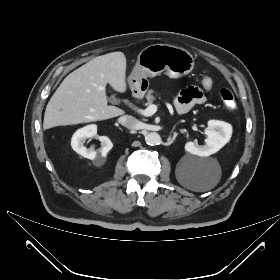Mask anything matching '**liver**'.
<instances>
[{
  "label": "liver",
  "mask_w": 280,
  "mask_h": 280,
  "mask_svg": "<svg viewBox=\"0 0 280 280\" xmlns=\"http://www.w3.org/2000/svg\"><path fill=\"white\" fill-rule=\"evenodd\" d=\"M126 91V57L122 52L98 56L70 73L50 98L43 129L101 121L125 112L108 105L106 85Z\"/></svg>",
  "instance_id": "1"
}]
</instances>
